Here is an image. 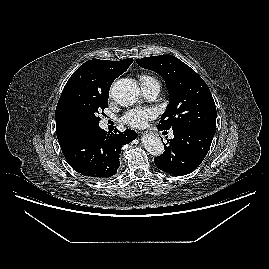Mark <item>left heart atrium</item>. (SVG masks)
<instances>
[{
	"label": "left heart atrium",
	"mask_w": 269,
	"mask_h": 269,
	"mask_svg": "<svg viewBox=\"0 0 269 269\" xmlns=\"http://www.w3.org/2000/svg\"><path fill=\"white\" fill-rule=\"evenodd\" d=\"M156 116V113L151 108L133 109L126 112L122 118L123 122L132 127H143L149 119Z\"/></svg>",
	"instance_id": "1"
}]
</instances>
